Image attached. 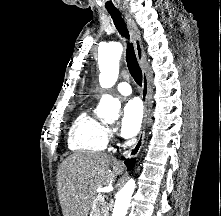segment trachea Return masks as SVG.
Instances as JSON below:
<instances>
[{
    "label": "trachea",
    "instance_id": "obj_1",
    "mask_svg": "<svg viewBox=\"0 0 221 216\" xmlns=\"http://www.w3.org/2000/svg\"><path fill=\"white\" fill-rule=\"evenodd\" d=\"M113 19V22L118 30V32L127 39V48H126V62L131 76L135 82L141 86L142 85V71L137 62L133 44L129 42V34L126 28V25L121 18V15L118 10L108 11Z\"/></svg>",
    "mask_w": 221,
    "mask_h": 216
}]
</instances>
